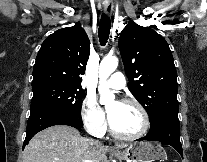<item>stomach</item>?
Returning <instances> with one entry per match:
<instances>
[{
  "instance_id": "0dacf381",
  "label": "stomach",
  "mask_w": 207,
  "mask_h": 162,
  "mask_svg": "<svg viewBox=\"0 0 207 162\" xmlns=\"http://www.w3.org/2000/svg\"><path fill=\"white\" fill-rule=\"evenodd\" d=\"M115 156L127 162H154L155 160H165L167 158L163 147L154 142L131 144L124 150L115 152Z\"/></svg>"
}]
</instances>
